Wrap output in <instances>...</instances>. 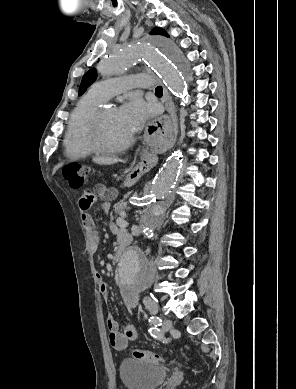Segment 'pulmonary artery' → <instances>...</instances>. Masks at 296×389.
I'll return each instance as SVG.
<instances>
[{
    "mask_svg": "<svg viewBox=\"0 0 296 389\" xmlns=\"http://www.w3.org/2000/svg\"><path fill=\"white\" fill-rule=\"evenodd\" d=\"M150 85V76L138 74L96 82L90 91L104 99H109L132 88H148Z\"/></svg>",
    "mask_w": 296,
    "mask_h": 389,
    "instance_id": "obj_1",
    "label": "pulmonary artery"
}]
</instances>
